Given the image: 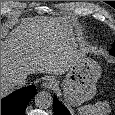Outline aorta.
<instances>
[{
	"instance_id": "1",
	"label": "aorta",
	"mask_w": 115,
	"mask_h": 115,
	"mask_svg": "<svg viewBox=\"0 0 115 115\" xmlns=\"http://www.w3.org/2000/svg\"><path fill=\"white\" fill-rule=\"evenodd\" d=\"M35 104L37 107L47 109L52 106V95L46 91H41L35 96Z\"/></svg>"
}]
</instances>
